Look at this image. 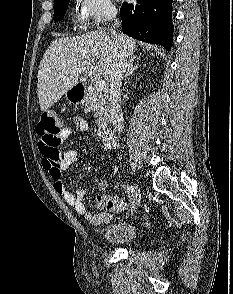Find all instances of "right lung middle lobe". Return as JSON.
Returning <instances> with one entry per match:
<instances>
[{
    "label": "right lung middle lobe",
    "mask_w": 233,
    "mask_h": 294,
    "mask_svg": "<svg viewBox=\"0 0 233 294\" xmlns=\"http://www.w3.org/2000/svg\"><path fill=\"white\" fill-rule=\"evenodd\" d=\"M68 4L69 0H54V22L60 21L63 18Z\"/></svg>",
    "instance_id": "obj_1"
}]
</instances>
